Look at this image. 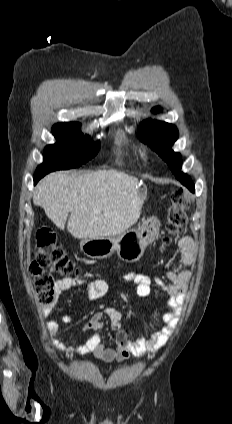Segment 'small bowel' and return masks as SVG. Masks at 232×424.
I'll return each instance as SVG.
<instances>
[{
	"label": "small bowel",
	"mask_w": 232,
	"mask_h": 424,
	"mask_svg": "<svg viewBox=\"0 0 232 424\" xmlns=\"http://www.w3.org/2000/svg\"><path fill=\"white\" fill-rule=\"evenodd\" d=\"M178 248L180 251V262L174 270L166 273L168 282L165 283L159 278L154 280L159 289L167 297L168 309L160 314L162 325L149 338L138 335L135 340H131L127 332L121 327V313L112 306H106L102 310L95 311L82 324L80 331H99L103 327V317L107 316L112 329L116 332L114 348L106 347L97 332L92 334L84 344L75 348H68L55 340L52 341L53 346L58 351L78 355L92 354L97 359L107 363L119 362L129 356H147L157 353L167 344L174 329L178 325V317L185 304L186 293L192 278L189 267L193 265L195 260L196 250L194 242L190 237H183L178 242ZM124 279L136 286V294L139 297L151 295L152 280L148 275L137 271H129L125 274ZM77 286H83L90 299L101 298L108 289L107 282L102 278L84 281L77 278L65 277L56 282L55 292L59 295ZM49 312V310H46L45 315H48ZM71 321L72 317L69 315H63L59 320L48 321L47 328L50 335L52 337L55 336L61 325L68 324Z\"/></svg>",
	"instance_id": "c3829d8e"
}]
</instances>
